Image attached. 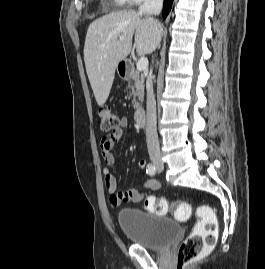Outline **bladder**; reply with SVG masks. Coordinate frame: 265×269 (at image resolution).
<instances>
[{"label": "bladder", "mask_w": 265, "mask_h": 269, "mask_svg": "<svg viewBox=\"0 0 265 269\" xmlns=\"http://www.w3.org/2000/svg\"><path fill=\"white\" fill-rule=\"evenodd\" d=\"M117 221L120 230L133 244L149 250L166 249L180 235L177 222L136 208L120 210Z\"/></svg>", "instance_id": "obj_1"}]
</instances>
